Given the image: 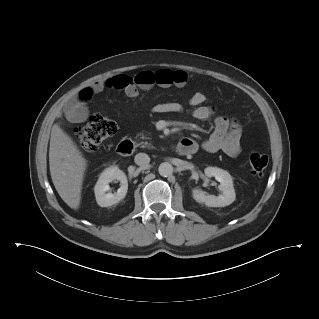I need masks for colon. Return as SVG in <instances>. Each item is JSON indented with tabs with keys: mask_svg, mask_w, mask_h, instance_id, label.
I'll list each match as a JSON object with an SVG mask.
<instances>
[{
	"mask_svg": "<svg viewBox=\"0 0 319 319\" xmlns=\"http://www.w3.org/2000/svg\"><path fill=\"white\" fill-rule=\"evenodd\" d=\"M117 123L102 115H94L89 121L78 128L76 136L80 148L86 152L97 151L100 145L117 132ZM251 172L261 176L268 165V157L259 152H252L249 155Z\"/></svg>",
	"mask_w": 319,
	"mask_h": 319,
	"instance_id": "colon-1",
	"label": "colon"
}]
</instances>
